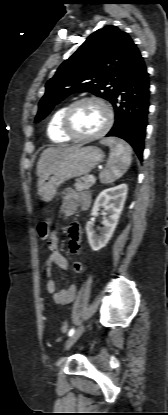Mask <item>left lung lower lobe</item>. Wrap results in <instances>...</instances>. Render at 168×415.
I'll list each match as a JSON object with an SVG mask.
<instances>
[{
  "instance_id": "left-lung-lower-lobe-1",
  "label": "left lung lower lobe",
  "mask_w": 168,
  "mask_h": 415,
  "mask_svg": "<svg viewBox=\"0 0 168 415\" xmlns=\"http://www.w3.org/2000/svg\"><path fill=\"white\" fill-rule=\"evenodd\" d=\"M149 93L148 73L140 54L122 79L111 101L115 109V123L106 135L127 141L140 160L144 150Z\"/></svg>"
}]
</instances>
